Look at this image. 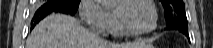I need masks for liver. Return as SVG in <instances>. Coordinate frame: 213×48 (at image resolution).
<instances>
[{"label": "liver", "instance_id": "6515ba94", "mask_svg": "<svg viewBox=\"0 0 213 48\" xmlns=\"http://www.w3.org/2000/svg\"><path fill=\"white\" fill-rule=\"evenodd\" d=\"M147 40L111 43L64 14H52L40 21L26 41V48H146Z\"/></svg>", "mask_w": 213, "mask_h": 48}]
</instances>
